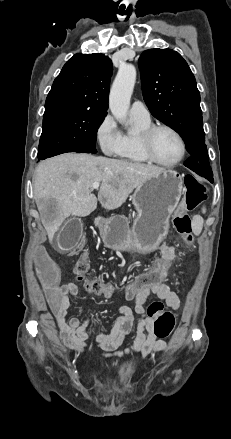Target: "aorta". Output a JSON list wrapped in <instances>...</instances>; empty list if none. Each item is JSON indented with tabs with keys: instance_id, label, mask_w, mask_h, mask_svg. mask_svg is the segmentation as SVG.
<instances>
[{
	"instance_id": "obj_1",
	"label": "aorta",
	"mask_w": 231,
	"mask_h": 439,
	"mask_svg": "<svg viewBox=\"0 0 231 439\" xmlns=\"http://www.w3.org/2000/svg\"><path fill=\"white\" fill-rule=\"evenodd\" d=\"M135 81L136 68L132 64L121 65L109 95V108L119 122L127 117Z\"/></svg>"
}]
</instances>
